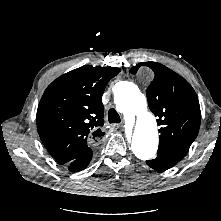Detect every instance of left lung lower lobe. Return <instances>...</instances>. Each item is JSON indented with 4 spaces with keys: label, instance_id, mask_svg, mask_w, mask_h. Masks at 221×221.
Segmentation results:
<instances>
[{
    "label": "left lung lower lobe",
    "instance_id": "left-lung-lower-lobe-1",
    "mask_svg": "<svg viewBox=\"0 0 221 221\" xmlns=\"http://www.w3.org/2000/svg\"><path fill=\"white\" fill-rule=\"evenodd\" d=\"M183 157L184 155L180 153L158 149L157 157L146 161V163L157 171H164L176 165Z\"/></svg>",
    "mask_w": 221,
    "mask_h": 221
}]
</instances>
